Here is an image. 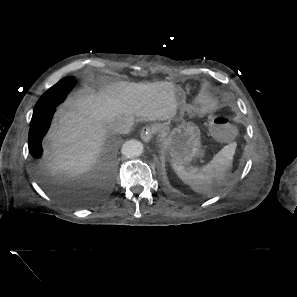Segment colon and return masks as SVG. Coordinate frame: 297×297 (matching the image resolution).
Listing matches in <instances>:
<instances>
[{"label": "colon", "mask_w": 297, "mask_h": 297, "mask_svg": "<svg viewBox=\"0 0 297 297\" xmlns=\"http://www.w3.org/2000/svg\"><path fill=\"white\" fill-rule=\"evenodd\" d=\"M210 129L213 135L220 140H229L235 133L234 126L224 113H219L211 118Z\"/></svg>", "instance_id": "5ec220e1"}]
</instances>
